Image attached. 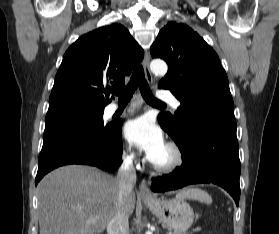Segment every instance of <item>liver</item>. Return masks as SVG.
I'll return each instance as SVG.
<instances>
[{
	"label": "liver",
	"instance_id": "1",
	"mask_svg": "<svg viewBox=\"0 0 279 234\" xmlns=\"http://www.w3.org/2000/svg\"><path fill=\"white\" fill-rule=\"evenodd\" d=\"M116 179L99 169L70 165L46 175L38 185L40 234H99L118 211ZM132 192L124 199L123 212L135 208ZM92 217L96 220L89 223Z\"/></svg>",
	"mask_w": 279,
	"mask_h": 234
}]
</instances>
